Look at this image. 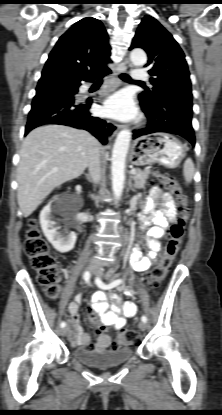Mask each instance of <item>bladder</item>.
Returning <instances> with one entry per match:
<instances>
[{
    "label": "bladder",
    "instance_id": "31cf9c89",
    "mask_svg": "<svg viewBox=\"0 0 222 415\" xmlns=\"http://www.w3.org/2000/svg\"><path fill=\"white\" fill-rule=\"evenodd\" d=\"M71 355L83 365L95 368H106L126 363L134 356V351L132 348L127 347L102 352L75 349Z\"/></svg>",
    "mask_w": 222,
    "mask_h": 415
}]
</instances>
